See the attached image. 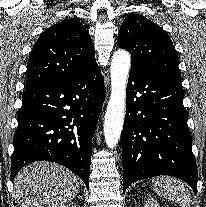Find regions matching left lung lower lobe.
I'll list each match as a JSON object with an SVG mask.
<instances>
[{
	"label": "left lung lower lobe",
	"mask_w": 206,
	"mask_h": 207,
	"mask_svg": "<svg viewBox=\"0 0 206 207\" xmlns=\"http://www.w3.org/2000/svg\"><path fill=\"white\" fill-rule=\"evenodd\" d=\"M121 135L123 192L135 181L171 175L197 193L198 174L181 82L131 69Z\"/></svg>",
	"instance_id": "0a47b994"
}]
</instances>
